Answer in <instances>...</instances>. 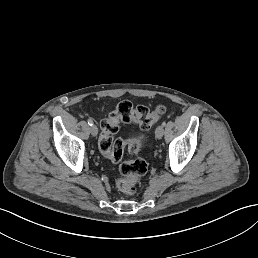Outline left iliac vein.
Segmentation results:
<instances>
[{
  "mask_svg": "<svg viewBox=\"0 0 258 258\" xmlns=\"http://www.w3.org/2000/svg\"><path fill=\"white\" fill-rule=\"evenodd\" d=\"M155 132H156V135H155L156 138L159 139V140L162 139L163 136H164V135H163L164 126H163V125H158Z\"/></svg>",
  "mask_w": 258,
  "mask_h": 258,
  "instance_id": "4c4485c4",
  "label": "left iliac vein"
}]
</instances>
